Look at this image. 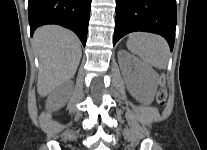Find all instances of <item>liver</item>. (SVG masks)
<instances>
[{"mask_svg": "<svg viewBox=\"0 0 207 150\" xmlns=\"http://www.w3.org/2000/svg\"><path fill=\"white\" fill-rule=\"evenodd\" d=\"M33 45L40 62L37 92L44 97L75 75L82 55L81 44L70 30L46 25L35 31Z\"/></svg>", "mask_w": 207, "mask_h": 150, "instance_id": "obj_1", "label": "liver"}]
</instances>
